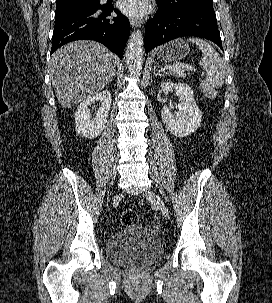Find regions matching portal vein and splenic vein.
Returning <instances> with one entry per match:
<instances>
[{"instance_id":"portal-vein-and-splenic-vein-1","label":"portal vein and splenic vein","mask_w":272,"mask_h":303,"mask_svg":"<svg viewBox=\"0 0 272 303\" xmlns=\"http://www.w3.org/2000/svg\"><path fill=\"white\" fill-rule=\"evenodd\" d=\"M168 69H186L189 71H194V67H192L191 65H187V64H174L172 66H169Z\"/></svg>"}]
</instances>
